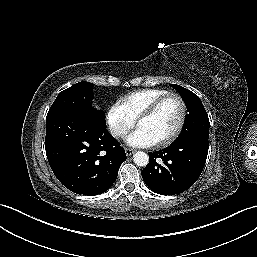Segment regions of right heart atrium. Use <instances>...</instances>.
I'll return each mask as SVG.
<instances>
[{
    "mask_svg": "<svg viewBox=\"0 0 257 257\" xmlns=\"http://www.w3.org/2000/svg\"><path fill=\"white\" fill-rule=\"evenodd\" d=\"M105 118L109 131L115 138L124 137L135 125V119L128 113L121 101L109 106Z\"/></svg>",
    "mask_w": 257,
    "mask_h": 257,
    "instance_id": "right-heart-atrium-1",
    "label": "right heart atrium"
}]
</instances>
